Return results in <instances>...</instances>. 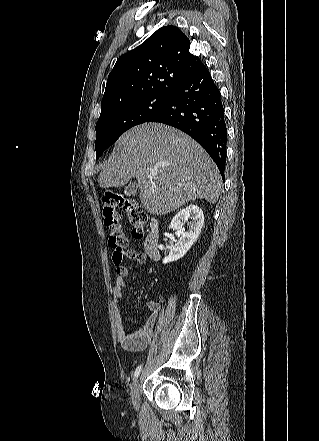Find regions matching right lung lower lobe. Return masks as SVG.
Wrapping results in <instances>:
<instances>
[{"label": "right lung lower lobe", "mask_w": 319, "mask_h": 441, "mask_svg": "<svg viewBox=\"0 0 319 441\" xmlns=\"http://www.w3.org/2000/svg\"><path fill=\"white\" fill-rule=\"evenodd\" d=\"M148 122L180 129L195 139L212 157L224 180L227 128L221 94L204 67L182 82L166 107Z\"/></svg>", "instance_id": "obj_1"}]
</instances>
